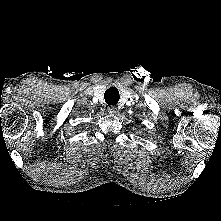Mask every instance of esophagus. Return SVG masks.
<instances>
[{
	"label": "esophagus",
	"mask_w": 221,
	"mask_h": 221,
	"mask_svg": "<svg viewBox=\"0 0 221 221\" xmlns=\"http://www.w3.org/2000/svg\"><path fill=\"white\" fill-rule=\"evenodd\" d=\"M108 112L109 114L114 115L117 113V108L114 106L108 107Z\"/></svg>",
	"instance_id": "34e87169"
}]
</instances>
